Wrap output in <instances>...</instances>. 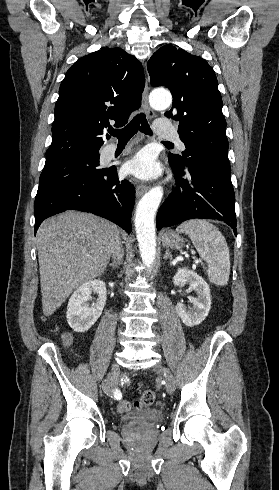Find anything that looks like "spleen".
<instances>
[{
  "label": "spleen",
  "instance_id": "3e777b00",
  "mask_svg": "<svg viewBox=\"0 0 279 490\" xmlns=\"http://www.w3.org/2000/svg\"><path fill=\"white\" fill-rule=\"evenodd\" d=\"M179 234H188L201 260L207 262L209 282L226 286L230 276V254L227 242L216 226L206 220H188L176 228Z\"/></svg>",
  "mask_w": 279,
  "mask_h": 490
}]
</instances>
